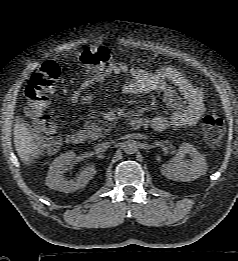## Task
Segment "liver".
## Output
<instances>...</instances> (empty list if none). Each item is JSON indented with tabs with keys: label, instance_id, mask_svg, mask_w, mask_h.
Listing matches in <instances>:
<instances>
[{
	"label": "liver",
	"instance_id": "liver-1",
	"mask_svg": "<svg viewBox=\"0 0 238 261\" xmlns=\"http://www.w3.org/2000/svg\"><path fill=\"white\" fill-rule=\"evenodd\" d=\"M14 144L20 160L29 165L36 155L38 145L26 123L17 119L14 125Z\"/></svg>",
	"mask_w": 238,
	"mask_h": 261
}]
</instances>
